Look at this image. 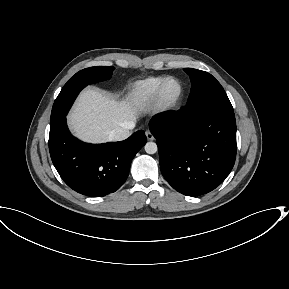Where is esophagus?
Instances as JSON below:
<instances>
[{
	"instance_id": "obj_1",
	"label": "esophagus",
	"mask_w": 289,
	"mask_h": 289,
	"mask_svg": "<svg viewBox=\"0 0 289 289\" xmlns=\"http://www.w3.org/2000/svg\"><path fill=\"white\" fill-rule=\"evenodd\" d=\"M145 135H146L147 139L150 141H153L155 139L153 134L150 131H146Z\"/></svg>"
}]
</instances>
